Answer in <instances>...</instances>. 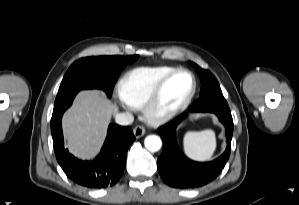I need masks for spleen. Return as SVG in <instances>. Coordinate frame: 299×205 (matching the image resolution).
<instances>
[{
  "instance_id": "3e777b00",
  "label": "spleen",
  "mask_w": 299,
  "mask_h": 205,
  "mask_svg": "<svg viewBox=\"0 0 299 205\" xmlns=\"http://www.w3.org/2000/svg\"><path fill=\"white\" fill-rule=\"evenodd\" d=\"M183 149L186 155L194 160L211 159L216 149V139L213 130L187 132L183 138Z\"/></svg>"
}]
</instances>
